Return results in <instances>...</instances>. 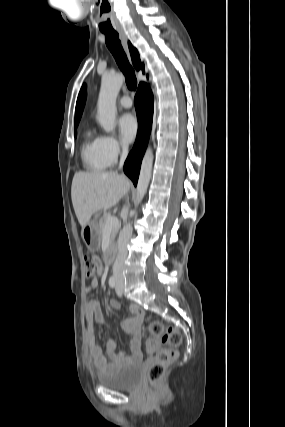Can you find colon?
Wrapping results in <instances>:
<instances>
[{"mask_svg":"<svg viewBox=\"0 0 285 427\" xmlns=\"http://www.w3.org/2000/svg\"><path fill=\"white\" fill-rule=\"evenodd\" d=\"M83 263L86 278L92 279L97 270L96 262L89 257H84ZM148 334L145 342L146 350L155 354L154 363L148 371V380L154 384L160 380L167 366L175 358L181 346L182 336L176 328L167 326L161 321L150 322ZM160 344L163 347L160 348Z\"/></svg>","mask_w":285,"mask_h":427,"instance_id":"obj_1","label":"colon"}]
</instances>
